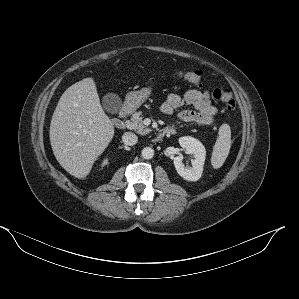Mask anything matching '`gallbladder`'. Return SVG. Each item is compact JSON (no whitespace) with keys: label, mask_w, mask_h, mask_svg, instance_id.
<instances>
[{"label":"gallbladder","mask_w":299,"mask_h":299,"mask_svg":"<svg viewBox=\"0 0 299 299\" xmlns=\"http://www.w3.org/2000/svg\"><path fill=\"white\" fill-rule=\"evenodd\" d=\"M102 105L108 113L116 114L122 108V100L116 93H107L103 96Z\"/></svg>","instance_id":"obj_1"}]
</instances>
